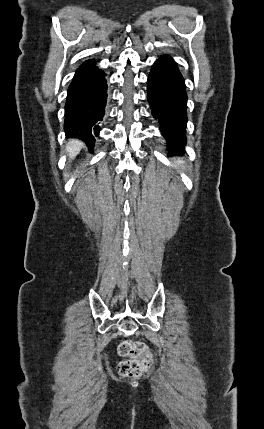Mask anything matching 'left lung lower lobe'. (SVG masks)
Returning <instances> with one entry per match:
<instances>
[{"label": "left lung lower lobe", "mask_w": 264, "mask_h": 429, "mask_svg": "<svg viewBox=\"0 0 264 429\" xmlns=\"http://www.w3.org/2000/svg\"><path fill=\"white\" fill-rule=\"evenodd\" d=\"M147 93L152 115L161 124L170 153L182 152L186 143L187 95L184 79L170 56H161L153 64Z\"/></svg>", "instance_id": "0a47b994"}]
</instances>
